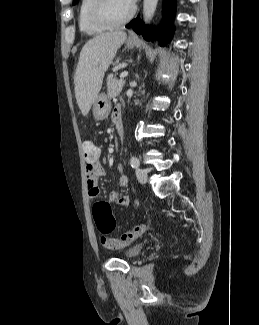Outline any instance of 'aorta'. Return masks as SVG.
I'll return each mask as SVG.
<instances>
[{"label": "aorta", "mask_w": 259, "mask_h": 325, "mask_svg": "<svg viewBox=\"0 0 259 325\" xmlns=\"http://www.w3.org/2000/svg\"><path fill=\"white\" fill-rule=\"evenodd\" d=\"M158 0H144L143 1V19L146 24L152 20Z\"/></svg>", "instance_id": "obj_1"}]
</instances>
